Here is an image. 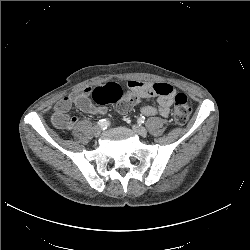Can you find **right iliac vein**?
Returning <instances> with one entry per match:
<instances>
[{
    "instance_id": "right-iliac-vein-1",
    "label": "right iliac vein",
    "mask_w": 250,
    "mask_h": 250,
    "mask_svg": "<svg viewBox=\"0 0 250 250\" xmlns=\"http://www.w3.org/2000/svg\"><path fill=\"white\" fill-rule=\"evenodd\" d=\"M93 133L95 136H99L101 133V127L100 126H94L93 127Z\"/></svg>"
}]
</instances>
